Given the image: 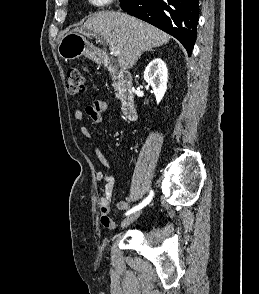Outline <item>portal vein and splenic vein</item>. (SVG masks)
Here are the masks:
<instances>
[{"instance_id": "1", "label": "portal vein and splenic vein", "mask_w": 259, "mask_h": 294, "mask_svg": "<svg viewBox=\"0 0 259 294\" xmlns=\"http://www.w3.org/2000/svg\"><path fill=\"white\" fill-rule=\"evenodd\" d=\"M111 52L113 53L114 56H118L120 54L119 49H117L114 46H111Z\"/></svg>"}]
</instances>
